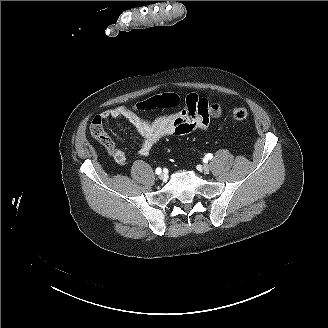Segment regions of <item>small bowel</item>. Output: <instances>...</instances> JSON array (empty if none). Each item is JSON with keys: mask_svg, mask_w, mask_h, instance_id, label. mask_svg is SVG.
Returning a JSON list of instances; mask_svg holds the SVG:
<instances>
[{"mask_svg": "<svg viewBox=\"0 0 328 328\" xmlns=\"http://www.w3.org/2000/svg\"><path fill=\"white\" fill-rule=\"evenodd\" d=\"M220 114L221 106L218 102H211L196 94H189L183 99L179 110L161 117L156 125L138 116L132 109L125 106L106 110L99 116L102 120L110 118L127 120L141 140L139 154L148 156L152 147L161 139L206 130L211 121L219 117ZM108 152L116 163H125L126 153L122 149L113 146Z\"/></svg>", "mask_w": 328, "mask_h": 328, "instance_id": "obj_1", "label": "small bowel"}]
</instances>
